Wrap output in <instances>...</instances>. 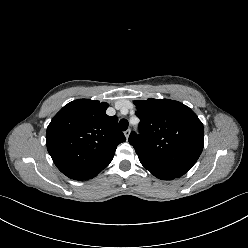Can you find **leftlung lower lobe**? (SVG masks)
Listing matches in <instances>:
<instances>
[{
    "label": "left lung lower lobe",
    "instance_id": "obj_1",
    "mask_svg": "<svg viewBox=\"0 0 248 248\" xmlns=\"http://www.w3.org/2000/svg\"><path fill=\"white\" fill-rule=\"evenodd\" d=\"M155 176L158 177L159 179H164V180L174 179V177H168V176H157V175H155Z\"/></svg>",
    "mask_w": 248,
    "mask_h": 248
}]
</instances>
